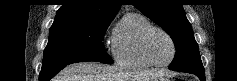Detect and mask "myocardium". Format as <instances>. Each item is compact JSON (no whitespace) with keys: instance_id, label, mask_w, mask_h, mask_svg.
<instances>
[{"instance_id":"1","label":"myocardium","mask_w":237,"mask_h":81,"mask_svg":"<svg viewBox=\"0 0 237 81\" xmlns=\"http://www.w3.org/2000/svg\"><path fill=\"white\" fill-rule=\"evenodd\" d=\"M153 32L162 33L163 35H165L169 39V41L171 43L172 55H171V58L165 63H157L150 56V53H149V50H148V39H149L150 35ZM141 52H142L143 57L149 62L150 65L155 66V67H159V68H164V67L169 66L173 62V60L175 59L176 44H175V41L172 38V36L167 31H165L164 29H162L160 27H157V26H151L148 29H146L145 32L142 35V38H141Z\"/></svg>"}]
</instances>
